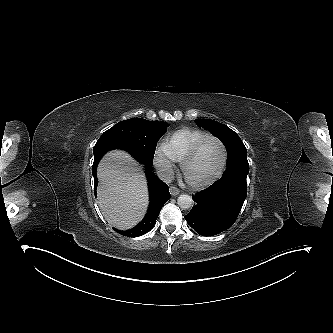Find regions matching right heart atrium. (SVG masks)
Wrapping results in <instances>:
<instances>
[{
    "label": "right heart atrium",
    "instance_id": "1",
    "mask_svg": "<svg viewBox=\"0 0 333 333\" xmlns=\"http://www.w3.org/2000/svg\"><path fill=\"white\" fill-rule=\"evenodd\" d=\"M154 164L163 174L171 173L174 167V159L168 153L165 145H160L155 151Z\"/></svg>",
    "mask_w": 333,
    "mask_h": 333
}]
</instances>
